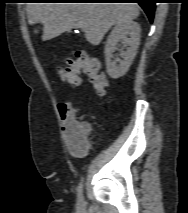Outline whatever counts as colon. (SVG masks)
<instances>
[{"mask_svg":"<svg viewBox=\"0 0 188 213\" xmlns=\"http://www.w3.org/2000/svg\"><path fill=\"white\" fill-rule=\"evenodd\" d=\"M57 74L69 86L79 85L80 78L85 75L89 78L92 90L99 96L107 91L106 76L99 70L98 63L84 52L76 54L75 58H69L63 64L56 67ZM79 145L77 139L74 142Z\"/></svg>","mask_w":188,"mask_h":213,"instance_id":"1","label":"colon"}]
</instances>
